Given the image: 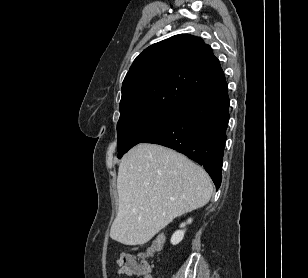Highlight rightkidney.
Masks as SVG:
<instances>
[{
  "label": "right kidney",
  "mask_w": 308,
  "mask_h": 278,
  "mask_svg": "<svg viewBox=\"0 0 308 278\" xmlns=\"http://www.w3.org/2000/svg\"><path fill=\"white\" fill-rule=\"evenodd\" d=\"M191 222H192V219H188L187 224H190ZM185 225L186 223H182L180 227L184 228ZM184 234H185V230L176 231L171 237V243L173 245L179 244L183 240Z\"/></svg>",
  "instance_id": "1"
}]
</instances>
